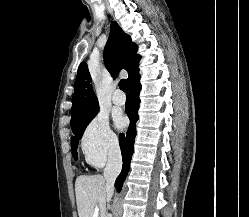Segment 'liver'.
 Here are the masks:
<instances>
[{
	"mask_svg": "<svg viewBox=\"0 0 249 217\" xmlns=\"http://www.w3.org/2000/svg\"><path fill=\"white\" fill-rule=\"evenodd\" d=\"M75 193L79 217H93L99 206L101 217H106V180L101 175L77 177Z\"/></svg>",
	"mask_w": 249,
	"mask_h": 217,
	"instance_id": "liver-1",
	"label": "liver"
}]
</instances>
